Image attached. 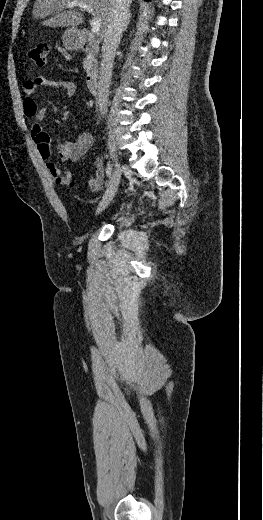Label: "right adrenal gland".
I'll use <instances>...</instances> for the list:
<instances>
[{
	"label": "right adrenal gland",
	"instance_id": "1",
	"mask_svg": "<svg viewBox=\"0 0 263 520\" xmlns=\"http://www.w3.org/2000/svg\"><path fill=\"white\" fill-rule=\"evenodd\" d=\"M130 17H131V14L129 13V15H128V19H127V22H126V26H125L124 31L127 30L128 24H129V22H130Z\"/></svg>",
	"mask_w": 263,
	"mask_h": 520
}]
</instances>
